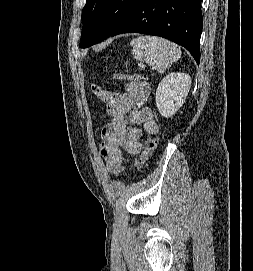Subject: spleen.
<instances>
[{
	"mask_svg": "<svg viewBox=\"0 0 253 271\" xmlns=\"http://www.w3.org/2000/svg\"><path fill=\"white\" fill-rule=\"evenodd\" d=\"M133 57L146 62L160 73L169 69L181 56V49L175 43L155 36H140L131 41Z\"/></svg>",
	"mask_w": 253,
	"mask_h": 271,
	"instance_id": "spleen-1",
	"label": "spleen"
}]
</instances>
